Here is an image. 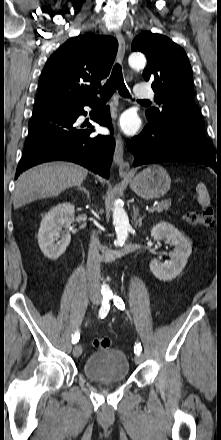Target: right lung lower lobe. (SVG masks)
<instances>
[{
    "label": "right lung lower lobe",
    "mask_w": 221,
    "mask_h": 440,
    "mask_svg": "<svg viewBox=\"0 0 221 440\" xmlns=\"http://www.w3.org/2000/svg\"><path fill=\"white\" fill-rule=\"evenodd\" d=\"M84 106L94 108L92 119L113 132L109 107H100L98 99L33 111L15 179L32 166L54 160L75 162L104 178L109 177L115 140L112 135L93 137L90 134L94 130L81 129L85 125L80 126L76 121L80 115L87 114Z\"/></svg>",
    "instance_id": "obj_1"
}]
</instances>
